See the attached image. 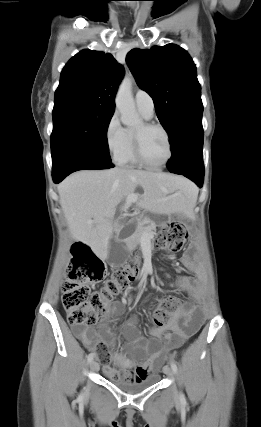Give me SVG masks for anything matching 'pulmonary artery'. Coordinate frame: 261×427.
<instances>
[{
  "instance_id": "1",
  "label": "pulmonary artery",
  "mask_w": 261,
  "mask_h": 427,
  "mask_svg": "<svg viewBox=\"0 0 261 427\" xmlns=\"http://www.w3.org/2000/svg\"><path fill=\"white\" fill-rule=\"evenodd\" d=\"M135 104L137 109L145 118H150L154 113V101L144 90H138L135 94Z\"/></svg>"
}]
</instances>
